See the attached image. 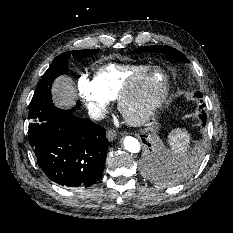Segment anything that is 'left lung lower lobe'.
I'll use <instances>...</instances> for the list:
<instances>
[{"instance_id":"obj_1","label":"left lung lower lobe","mask_w":233,"mask_h":233,"mask_svg":"<svg viewBox=\"0 0 233 233\" xmlns=\"http://www.w3.org/2000/svg\"><path fill=\"white\" fill-rule=\"evenodd\" d=\"M200 118L202 119V122H203V126L206 124V118H207V116H206V113L202 110V114H201V116H200ZM143 142L144 143H146V140L145 139H143ZM147 144V143H146ZM148 146H150V144H147ZM152 158H150V160H149V163H152Z\"/></svg>"}]
</instances>
